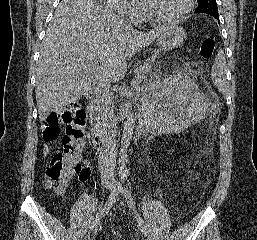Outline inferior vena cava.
Returning <instances> with one entry per match:
<instances>
[{"mask_svg":"<svg viewBox=\"0 0 257 240\" xmlns=\"http://www.w3.org/2000/svg\"><path fill=\"white\" fill-rule=\"evenodd\" d=\"M102 164H103L102 170L112 172L113 169H114V156H113V154L108 153V155L106 157H104Z\"/></svg>","mask_w":257,"mask_h":240,"instance_id":"1","label":"inferior vena cava"}]
</instances>
